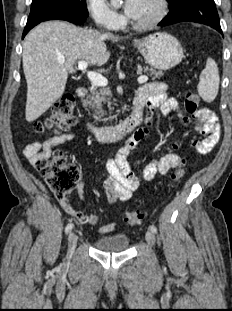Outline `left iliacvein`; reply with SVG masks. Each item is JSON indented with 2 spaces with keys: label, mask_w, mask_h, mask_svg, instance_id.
I'll use <instances>...</instances> for the list:
<instances>
[{
  "label": "left iliac vein",
  "mask_w": 232,
  "mask_h": 311,
  "mask_svg": "<svg viewBox=\"0 0 232 311\" xmlns=\"http://www.w3.org/2000/svg\"><path fill=\"white\" fill-rule=\"evenodd\" d=\"M145 238H146L147 243L150 246L154 245V243H155V235H154V233L152 231H147Z\"/></svg>",
  "instance_id": "4c4485c4"
}]
</instances>
